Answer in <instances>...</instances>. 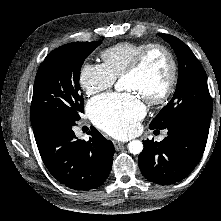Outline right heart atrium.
Listing matches in <instances>:
<instances>
[{"label":"right heart atrium","mask_w":221,"mask_h":221,"mask_svg":"<svg viewBox=\"0 0 221 221\" xmlns=\"http://www.w3.org/2000/svg\"><path fill=\"white\" fill-rule=\"evenodd\" d=\"M116 79L100 63L87 62L80 72V85L88 96L110 89Z\"/></svg>","instance_id":"obj_1"}]
</instances>
